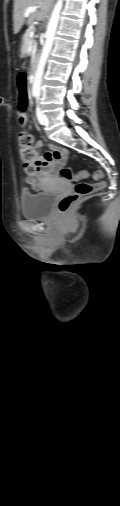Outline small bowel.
<instances>
[{
    "mask_svg": "<svg viewBox=\"0 0 120 506\" xmlns=\"http://www.w3.org/2000/svg\"><path fill=\"white\" fill-rule=\"evenodd\" d=\"M43 142H38L37 146H44ZM49 151L39 156L38 170L26 177V182L34 190L42 189L47 182L56 179L59 176V170L65 164L69 151L65 148L48 146Z\"/></svg>",
    "mask_w": 120,
    "mask_h": 506,
    "instance_id": "1",
    "label": "small bowel"
}]
</instances>
